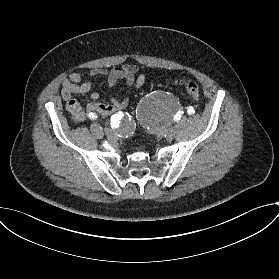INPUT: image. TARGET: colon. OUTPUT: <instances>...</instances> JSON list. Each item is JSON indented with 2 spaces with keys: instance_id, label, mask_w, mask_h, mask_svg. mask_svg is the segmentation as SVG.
Wrapping results in <instances>:
<instances>
[{
  "instance_id": "obj_1",
  "label": "colon",
  "mask_w": 279,
  "mask_h": 279,
  "mask_svg": "<svg viewBox=\"0 0 279 279\" xmlns=\"http://www.w3.org/2000/svg\"><path fill=\"white\" fill-rule=\"evenodd\" d=\"M177 82L184 88V90L189 94V96L198 100L200 98V88L199 85L189 78L180 77L177 79Z\"/></svg>"
}]
</instances>
